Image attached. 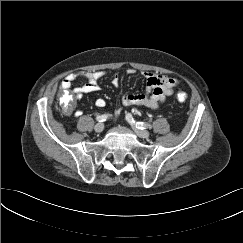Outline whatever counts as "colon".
I'll return each mask as SVG.
<instances>
[{
	"mask_svg": "<svg viewBox=\"0 0 243 243\" xmlns=\"http://www.w3.org/2000/svg\"><path fill=\"white\" fill-rule=\"evenodd\" d=\"M176 97L178 101L184 102L188 96L185 92H178ZM60 105L65 113H71L76 105L74 96L68 91H63L60 96Z\"/></svg>",
	"mask_w": 243,
	"mask_h": 243,
	"instance_id": "obj_1",
	"label": "colon"
}]
</instances>
